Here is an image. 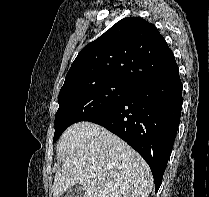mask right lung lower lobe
<instances>
[{
  "mask_svg": "<svg viewBox=\"0 0 209 197\" xmlns=\"http://www.w3.org/2000/svg\"><path fill=\"white\" fill-rule=\"evenodd\" d=\"M182 102V83L175 63L85 121L105 127L134 148L149 164L157 192L180 123Z\"/></svg>",
  "mask_w": 209,
  "mask_h": 197,
  "instance_id": "98d812e1",
  "label": "right lung lower lobe"
}]
</instances>
